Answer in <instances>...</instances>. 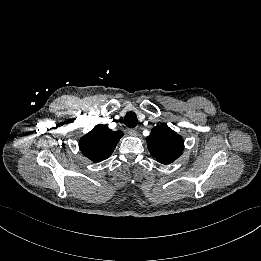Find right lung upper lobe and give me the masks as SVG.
Listing matches in <instances>:
<instances>
[{
  "label": "right lung upper lobe",
  "instance_id": "1",
  "mask_svg": "<svg viewBox=\"0 0 261 261\" xmlns=\"http://www.w3.org/2000/svg\"><path fill=\"white\" fill-rule=\"evenodd\" d=\"M122 136L123 132H114L108 126L98 124L80 139L79 147L91 161L100 162L110 157Z\"/></svg>",
  "mask_w": 261,
  "mask_h": 261
}]
</instances>
